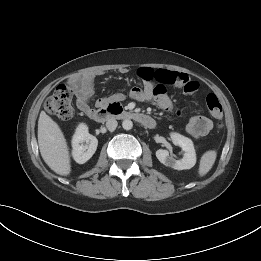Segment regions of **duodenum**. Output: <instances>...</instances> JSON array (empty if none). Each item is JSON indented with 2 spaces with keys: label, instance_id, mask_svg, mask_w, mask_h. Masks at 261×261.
Returning a JSON list of instances; mask_svg holds the SVG:
<instances>
[{
  "label": "duodenum",
  "instance_id": "1",
  "mask_svg": "<svg viewBox=\"0 0 261 261\" xmlns=\"http://www.w3.org/2000/svg\"><path fill=\"white\" fill-rule=\"evenodd\" d=\"M88 116L96 121H102L112 117L130 119L148 128H154L156 125L154 119L149 115L126 110L118 102H113L97 110H93Z\"/></svg>",
  "mask_w": 261,
  "mask_h": 261
}]
</instances>
